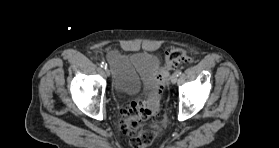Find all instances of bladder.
<instances>
[{
	"instance_id": "31cf9c89",
	"label": "bladder",
	"mask_w": 279,
	"mask_h": 148,
	"mask_svg": "<svg viewBox=\"0 0 279 148\" xmlns=\"http://www.w3.org/2000/svg\"><path fill=\"white\" fill-rule=\"evenodd\" d=\"M127 63L142 79L143 88L148 91L159 70V58L152 53H134L126 58Z\"/></svg>"
}]
</instances>
